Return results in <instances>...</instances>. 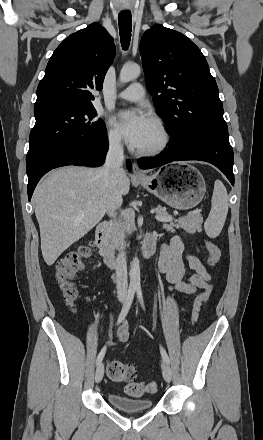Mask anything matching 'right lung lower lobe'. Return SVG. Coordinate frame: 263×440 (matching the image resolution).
<instances>
[{
    "label": "right lung lower lobe",
    "instance_id": "98d812e1",
    "mask_svg": "<svg viewBox=\"0 0 263 440\" xmlns=\"http://www.w3.org/2000/svg\"><path fill=\"white\" fill-rule=\"evenodd\" d=\"M108 149L106 132L98 137L84 138L77 141H64L52 146L39 156L26 162L28 176V198L31 199L33 191L41 179L51 169L77 165L98 167L104 163ZM127 168L131 164L127 161Z\"/></svg>",
    "mask_w": 263,
    "mask_h": 440
}]
</instances>
